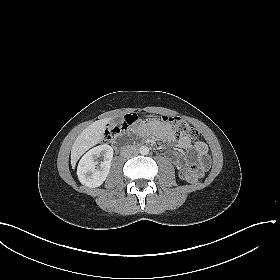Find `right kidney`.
Wrapping results in <instances>:
<instances>
[{
  "label": "right kidney",
  "mask_w": 280,
  "mask_h": 280,
  "mask_svg": "<svg viewBox=\"0 0 280 280\" xmlns=\"http://www.w3.org/2000/svg\"><path fill=\"white\" fill-rule=\"evenodd\" d=\"M104 157L100 167L95 159ZM113 159V148L107 144L99 145L89 150L80 160L77 168L78 179L84 186L99 187L106 180Z\"/></svg>",
  "instance_id": "right-kidney-1"
}]
</instances>
